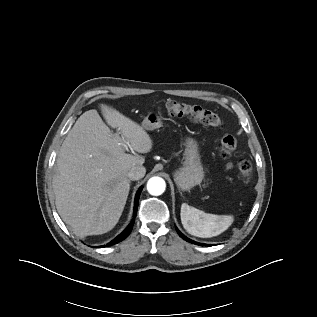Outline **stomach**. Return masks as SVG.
Segmentation results:
<instances>
[{
	"instance_id": "obj_1",
	"label": "stomach",
	"mask_w": 317,
	"mask_h": 317,
	"mask_svg": "<svg viewBox=\"0 0 317 317\" xmlns=\"http://www.w3.org/2000/svg\"><path fill=\"white\" fill-rule=\"evenodd\" d=\"M162 126L161 116L156 111H150L142 122L145 130H154ZM174 181L180 191H190L200 184L204 177L199 145L188 136L185 138V151L182 166L174 172Z\"/></svg>"
}]
</instances>
